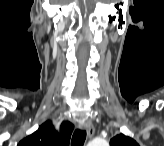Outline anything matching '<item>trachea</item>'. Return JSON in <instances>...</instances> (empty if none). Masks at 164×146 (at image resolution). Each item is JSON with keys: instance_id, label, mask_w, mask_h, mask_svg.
I'll return each instance as SVG.
<instances>
[{"instance_id": "3493384b", "label": "trachea", "mask_w": 164, "mask_h": 146, "mask_svg": "<svg viewBox=\"0 0 164 146\" xmlns=\"http://www.w3.org/2000/svg\"><path fill=\"white\" fill-rule=\"evenodd\" d=\"M86 139V131L76 129L71 141V146H83Z\"/></svg>"}]
</instances>
